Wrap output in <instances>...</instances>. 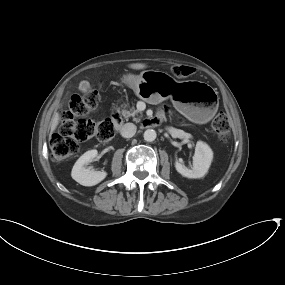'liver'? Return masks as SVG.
Instances as JSON below:
<instances>
[{"instance_id":"6515ba94","label":"liver","mask_w":285,"mask_h":285,"mask_svg":"<svg viewBox=\"0 0 285 285\" xmlns=\"http://www.w3.org/2000/svg\"><path fill=\"white\" fill-rule=\"evenodd\" d=\"M129 67L132 68V69L140 70V69L146 68V65L143 64V63H133V64H130ZM58 124H59V114L56 113L55 116L51 120L50 135L55 131V129L57 128Z\"/></svg>"}]
</instances>
